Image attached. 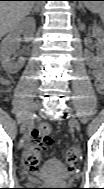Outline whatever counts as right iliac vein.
Listing matches in <instances>:
<instances>
[{
	"label": "right iliac vein",
	"instance_id": "63e3f726",
	"mask_svg": "<svg viewBox=\"0 0 104 189\" xmlns=\"http://www.w3.org/2000/svg\"><path fill=\"white\" fill-rule=\"evenodd\" d=\"M40 107V102L36 101L33 103L32 108L27 116V118L24 120V122L21 124L20 132L24 133L26 129H30L34 122V115L37 112V110Z\"/></svg>",
	"mask_w": 104,
	"mask_h": 189
}]
</instances>
